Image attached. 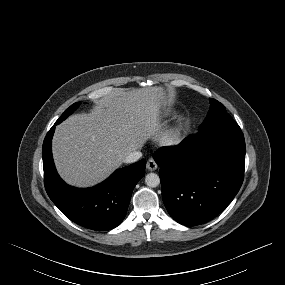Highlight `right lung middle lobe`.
<instances>
[{"mask_svg": "<svg viewBox=\"0 0 285 285\" xmlns=\"http://www.w3.org/2000/svg\"><path fill=\"white\" fill-rule=\"evenodd\" d=\"M80 105V102L74 103L69 108L65 110V112L61 115V117L57 120L58 123L65 120L78 106Z\"/></svg>", "mask_w": 285, "mask_h": 285, "instance_id": "obj_1", "label": "right lung middle lobe"}]
</instances>
